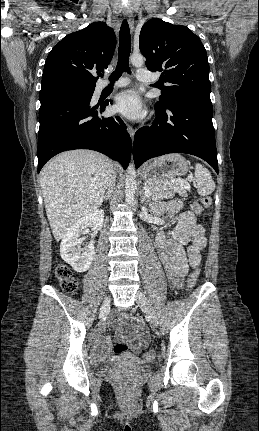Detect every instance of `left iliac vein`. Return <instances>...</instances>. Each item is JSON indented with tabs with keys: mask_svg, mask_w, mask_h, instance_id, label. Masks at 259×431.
<instances>
[{
	"mask_svg": "<svg viewBox=\"0 0 259 431\" xmlns=\"http://www.w3.org/2000/svg\"><path fill=\"white\" fill-rule=\"evenodd\" d=\"M135 300H136V303L139 305V307L146 312L151 324L157 327L158 326L157 314L153 306L151 305L150 301L145 296V294L142 291H138L136 293Z\"/></svg>",
	"mask_w": 259,
	"mask_h": 431,
	"instance_id": "obj_1",
	"label": "left iliac vein"
}]
</instances>
